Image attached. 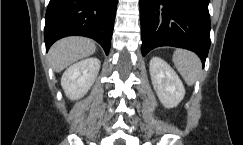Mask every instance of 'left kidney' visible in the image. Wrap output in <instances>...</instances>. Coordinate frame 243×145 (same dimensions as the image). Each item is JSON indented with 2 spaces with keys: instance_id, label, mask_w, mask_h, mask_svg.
Wrapping results in <instances>:
<instances>
[{
  "instance_id": "obj_1",
  "label": "left kidney",
  "mask_w": 243,
  "mask_h": 145,
  "mask_svg": "<svg viewBox=\"0 0 243 145\" xmlns=\"http://www.w3.org/2000/svg\"><path fill=\"white\" fill-rule=\"evenodd\" d=\"M154 90L164 107H176L184 98L185 88L175 71L160 57H153L149 66Z\"/></svg>"
}]
</instances>
